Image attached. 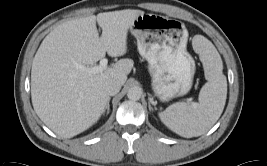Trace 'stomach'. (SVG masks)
I'll return each mask as SVG.
<instances>
[{
    "label": "stomach",
    "instance_id": "stomach-1",
    "mask_svg": "<svg viewBox=\"0 0 267 166\" xmlns=\"http://www.w3.org/2000/svg\"><path fill=\"white\" fill-rule=\"evenodd\" d=\"M131 33L139 54L148 62L152 89L161 101L187 94L193 83L195 62L187 52L188 31L178 20L144 13Z\"/></svg>",
    "mask_w": 267,
    "mask_h": 166
}]
</instances>
